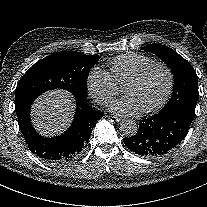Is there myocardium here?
<instances>
[{
    "label": "myocardium",
    "mask_w": 207,
    "mask_h": 207,
    "mask_svg": "<svg viewBox=\"0 0 207 207\" xmlns=\"http://www.w3.org/2000/svg\"><path fill=\"white\" fill-rule=\"evenodd\" d=\"M154 67H160L162 68L168 76V85H167V89L166 92L162 98V100L159 102V104L149 110L146 111H142L139 113L140 116H149V115H153L158 113L161 109H163L166 104L168 103L170 96L173 92V88H174V74L171 70V68L165 64L164 62H159V61H153L147 65H145L144 67H142L138 72H136L134 75H132L130 78H128L125 82H124V86L126 85H132L135 84L137 82H139L143 76L152 68ZM124 93V92H123Z\"/></svg>",
    "instance_id": "obj_1"
}]
</instances>
